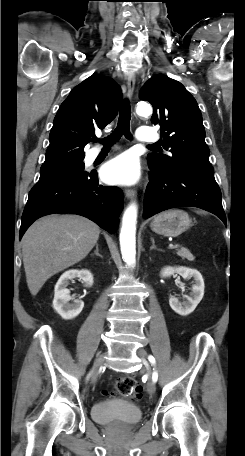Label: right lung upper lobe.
Returning <instances> with one entry per match:
<instances>
[{
  "mask_svg": "<svg viewBox=\"0 0 245 456\" xmlns=\"http://www.w3.org/2000/svg\"><path fill=\"white\" fill-rule=\"evenodd\" d=\"M121 97L117 83L99 74L74 87L54 118L41 168L84 159V146L115 118Z\"/></svg>",
  "mask_w": 245,
  "mask_h": 456,
  "instance_id": "cb5924a9",
  "label": "right lung upper lobe"
}]
</instances>
